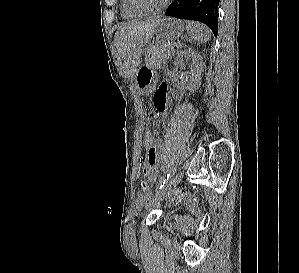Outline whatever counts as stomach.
Returning a JSON list of instances; mask_svg holds the SVG:
<instances>
[{"instance_id":"0dacf381","label":"stomach","mask_w":299,"mask_h":273,"mask_svg":"<svg viewBox=\"0 0 299 273\" xmlns=\"http://www.w3.org/2000/svg\"><path fill=\"white\" fill-rule=\"evenodd\" d=\"M184 31V25L181 21L165 18L160 21L156 27L157 36L163 41L173 40L179 37ZM135 82L142 93H148L152 88L157 73L151 67H136Z\"/></svg>"}]
</instances>
